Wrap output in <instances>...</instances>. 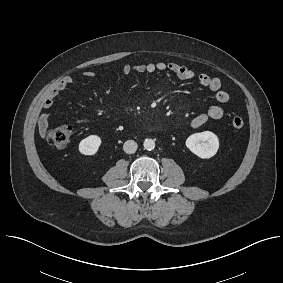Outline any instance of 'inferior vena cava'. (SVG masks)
Instances as JSON below:
<instances>
[{
  "label": "inferior vena cava",
  "instance_id": "obj_1",
  "mask_svg": "<svg viewBox=\"0 0 283 283\" xmlns=\"http://www.w3.org/2000/svg\"><path fill=\"white\" fill-rule=\"evenodd\" d=\"M137 143L133 140H127L124 145H123V150L124 152H126L127 154H132L135 153V151L137 150Z\"/></svg>",
  "mask_w": 283,
  "mask_h": 283
}]
</instances>
